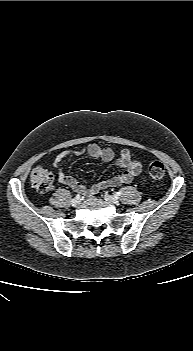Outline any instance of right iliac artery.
<instances>
[{
    "mask_svg": "<svg viewBox=\"0 0 193 351\" xmlns=\"http://www.w3.org/2000/svg\"><path fill=\"white\" fill-rule=\"evenodd\" d=\"M76 198H77V199H80V198H81V196H80L79 194H77V195H76Z\"/></svg>",
    "mask_w": 193,
    "mask_h": 351,
    "instance_id": "obj_1",
    "label": "right iliac artery"
}]
</instances>
